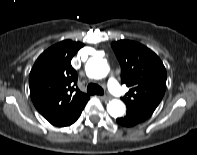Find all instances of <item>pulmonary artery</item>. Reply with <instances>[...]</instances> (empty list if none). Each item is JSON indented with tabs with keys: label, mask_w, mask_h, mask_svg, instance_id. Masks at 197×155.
Masks as SVG:
<instances>
[{
	"label": "pulmonary artery",
	"mask_w": 197,
	"mask_h": 155,
	"mask_svg": "<svg viewBox=\"0 0 197 155\" xmlns=\"http://www.w3.org/2000/svg\"><path fill=\"white\" fill-rule=\"evenodd\" d=\"M108 87L110 89V91L116 95V96H121L122 95V91H121V88H120V85L117 81V79L112 76L109 81H108Z\"/></svg>",
	"instance_id": "e3ab8cb5"
}]
</instances>
